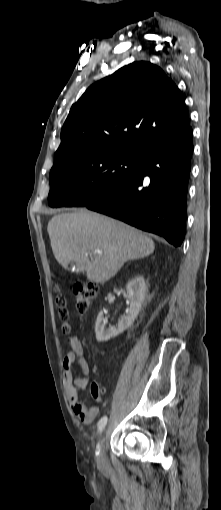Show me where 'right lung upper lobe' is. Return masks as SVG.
<instances>
[{"mask_svg": "<svg viewBox=\"0 0 221 510\" xmlns=\"http://www.w3.org/2000/svg\"><path fill=\"white\" fill-rule=\"evenodd\" d=\"M190 128L184 99L163 70L134 62L91 85L71 107L54 166L105 146L137 147Z\"/></svg>", "mask_w": 221, "mask_h": 510, "instance_id": "cb5924a9", "label": "right lung upper lobe"}]
</instances>
